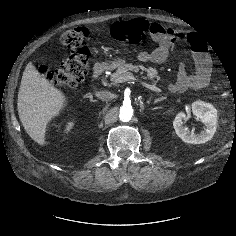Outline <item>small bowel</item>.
Returning a JSON list of instances; mask_svg holds the SVG:
<instances>
[{"instance_id":"obj_1","label":"small bowel","mask_w":236,"mask_h":236,"mask_svg":"<svg viewBox=\"0 0 236 236\" xmlns=\"http://www.w3.org/2000/svg\"><path fill=\"white\" fill-rule=\"evenodd\" d=\"M149 32L153 47L149 51L139 53L138 58L141 62L163 63L170 50L177 44H189L193 50L194 72L188 73L184 64H181L177 81L170 86L171 90L200 89L208 85L211 77V62L204 50L205 43L201 37L173 27L166 28L159 23H151Z\"/></svg>"}]
</instances>
